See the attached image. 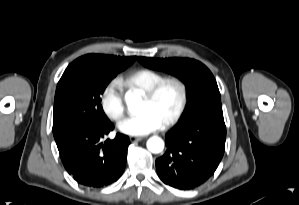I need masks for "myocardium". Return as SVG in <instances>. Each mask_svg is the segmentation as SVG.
<instances>
[{
  "instance_id": "obj_1",
  "label": "myocardium",
  "mask_w": 299,
  "mask_h": 205,
  "mask_svg": "<svg viewBox=\"0 0 299 205\" xmlns=\"http://www.w3.org/2000/svg\"><path fill=\"white\" fill-rule=\"evenodd\" d=\"M170 85H174L179 89V102L175 112L166 121L162 123L163 128H169L173 126L182 117L187 107L189 97L188 87L186 83L177 77H169L158 82L156 85H154L152 88L148 89L142 94V98H144L145 100L153 101L166 87Z\"/></svg>"
}]
</instances>
